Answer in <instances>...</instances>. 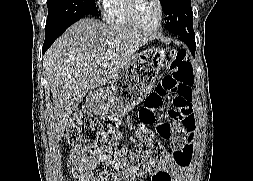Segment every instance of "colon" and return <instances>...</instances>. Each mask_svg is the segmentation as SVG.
<instances>
[{"instance_id":"colon-1","label":"colon","mask_w":253,"mask_h":181,"mask_svg":"<svg viewBox=\"0 0 253 181\" xmlns=\"http://www.w3.org/2000/svg\"><path fill=\"white\" fill-rule=\"evenodd\" d=\"M168 55H174L172 72L165 75L145 101L139 112L141 127L139 136L147 143L146 149L131 151L109 140L103 132L100 122L91 114L78 112L68 129L69 143L83 151L99 155L104 161L118 167L144 172L167 161L169 152L155 135L163 139L172 138V126L166 122H157V111L168 100L172 108L169 118L185 122L191 116L192 88L194 74L186 50H174L170 47ZM152 127V129L150 128Z\"/></svg>"}]
</instances>
